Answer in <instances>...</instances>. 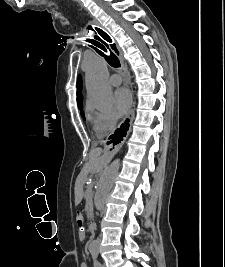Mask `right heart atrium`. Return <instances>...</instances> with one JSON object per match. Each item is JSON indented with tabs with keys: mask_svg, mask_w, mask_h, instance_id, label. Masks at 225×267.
<instances>
[{
	"mask_svg": "<svg viewBox=\"0 0 225 267\" xmlns=\"http://www.w3.org/2000/svg\"><path fill=\"white\" fill-rule=\"evenodd\" d=\"M93 130L98 135H107L112 133L117 126L116 115L110 110H89Z\"/></svg>",
	"mask_w": 225,
	"mask_h": 267,
	"instance_id": "right-heart-atrium-1",
	"label": "right heart atrium"
}]
</instances>
